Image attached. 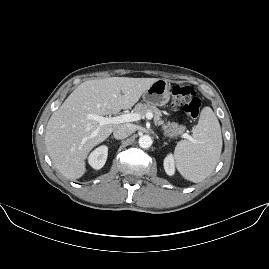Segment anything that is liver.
<instances>
[{
  "mask_svg": "<svg viewBox=\"0 0 269 269\" xmlns=\"http://www.w3.org/2000/svg\"><path fill=\"white\" fill-rule=\"evenodd\" d=\"M158 78L108 77L77 86L47 122L45 145L61 174L79 179L87 171L90 152L122 124L100 125L86 119L131 109Z\"/></svg>",
  "mask_w": 269,
  "mask_h": 269,
  "instance_id": "6515ba94",
  "label": "liver"
}]
</instances>
